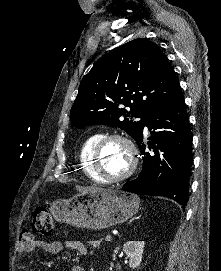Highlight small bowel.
Returning <instances> with one entry per match:
<instances>
[{
    "label": "small bowel",
    "mask_w": 221,
    "mask_h": 271,
    "mask_svg": "<svg viewBox=\"0 0 221 271\" xmlns=\"http://www.w3.org/2000/svg\"><path fill=\"white\" fill-rule=\"evenodd\" d=\"M64 248L72 249L80 255H86L88 253L87 247L79 240H67L62 242L58 240L32 239L28 242L21 241L16 249L18 253H31L36 249H40L54 255L60 253ZM69 271H85V269L81 265L75 264L70 267Z\"/></svg>",
    "instance_id": "obj_1"
}]
</instances>
